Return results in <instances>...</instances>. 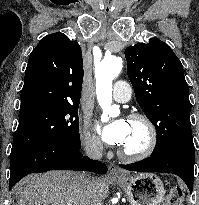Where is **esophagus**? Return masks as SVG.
<instances>
[{"mask_svg": "<svg viewBox=\"0 0 199 205\" xmlns=\"http://www.w3.org/2000/svg\"><path fill=\"white\" fill-rule=\"evenodd\" d=\"M109 174L112 177H119L122 175V172L114 164H110L109 165Z\"/></svg>", "mask_w": 199, "mask_h": 205, "instance_id": "esophagus-1", "label": "esophagus"}]
</instances>
